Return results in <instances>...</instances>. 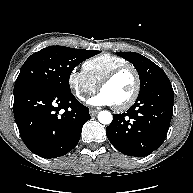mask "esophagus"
Segmentation results:
<instances>
[{"label":"esophagus","mask_w":193,"mask_h":193,"mask_svg":"<svg viewBox=\"0 0 193 193\" xmlns=\"http://www.w3.org/2000/svg\"><path fill=\"white\" fill-rule=\"evenodd\" d=\"M89 113H90V115H91L92 117H94V116L97 115L98 110H96V109H90V110H89Z\"/></svg>","instance_id":"34e87169"}]
</instances>
